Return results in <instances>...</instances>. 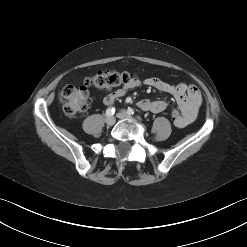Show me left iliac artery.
I'll return each mask as SVG.
<instances>
[{
	"instance_id": "1",
	"label": "left iliac artery",
	"mask_w": 247,
	"mask_h": 247,
	"mask_svg": "<svg viewBox=\"0 0 247 247\" xmlns=\"http://www.w3.org/2000/svg\"><path fill=\"white\" fill-rule=\"evenodd\" d=\"M127 113L129 115H133L134 114V110L132 108H128Z\"/></svg>"
}]
</instances>
